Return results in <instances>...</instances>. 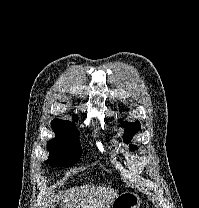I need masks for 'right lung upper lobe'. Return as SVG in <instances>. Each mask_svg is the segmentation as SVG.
<instances>
[{
    "label": "right lung upper lobe",
    "instance_id": "obj_1",
    "mask_svg": "<svg viewBox=\"0 0 199 208\" xmlns=\"http://www.w3.org/2000/svg\"><path fill=\"white\" fill-rule=\"evenodd\" d=\"M76 118L77 117L74 116V119H76ZM51 126H52L54 132L59 133V134H66V133L77 131V129L75 128V126L72 122L64 121V120H60V119H54L51 122Z\"/></svg>",
    "mask_w": 199,
    "mask_h": 208
}]
</instances>
